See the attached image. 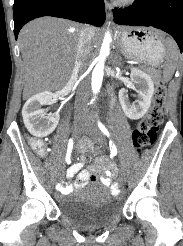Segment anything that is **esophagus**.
I'll return each instance as SVG.
<instances>
[{"label":"esophagus","instance_id":"1","mask_svg":"<svg viewBox=\"0 0 183 246\" xmlns=\"http://www.w3.org/2000/svg\"><path fill=\"white\" fill-rule=\"evenodd\" d=\"M105 10H106V18L109 19L111 16L112 5L108 0H105Z\"/></svg>","mask_w":183,"mask_h":246}]
</instances>
